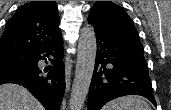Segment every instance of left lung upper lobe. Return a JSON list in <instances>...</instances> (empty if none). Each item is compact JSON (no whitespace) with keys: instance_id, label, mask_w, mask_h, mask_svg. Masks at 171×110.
Returning a JSON list of instances; mask_svg holds the SVG:
<instances>
[{"instance_id":"obj_1","label":"left lung upper lobe","mask_w":171,"mask_h":110,"mask_svg":"<svg viewBox=\"0 0 171 110\" xmlns=\"http://www.w3.org/2000/svg\"><path fill=\"white\" fill-rule=\"evenodd\" d=\"M88 22L101 32L143 51L132 19L117 4L111 1H97L90 10Z\"/></svg>"}]
</instances>
